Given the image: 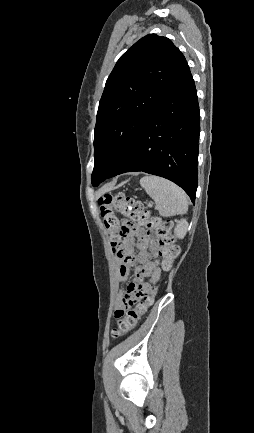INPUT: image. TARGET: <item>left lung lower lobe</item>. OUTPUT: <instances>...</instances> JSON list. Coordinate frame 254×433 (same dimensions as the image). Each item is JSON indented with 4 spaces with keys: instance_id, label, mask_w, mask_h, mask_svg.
Wrapping results in <instances>:
<instances>
[{
    "instance_id": "left-lung-lower-lobe-1",
    "label": "left lung lower lobe",
    "mask_w": 254,
    "mask_h": 433,
    "mask_svg": "<svg viewBox=\"0 0 254 433\" xmlns=\"http://www.w3.org/2000/svg\"><path fill=\"white\" fill-rule=\"evenodd\" d=\"M200 116L187 62L143 126L126 160L111 177L142 171L169 179L195 202Z\"/></svg>"
}]
</instances>
